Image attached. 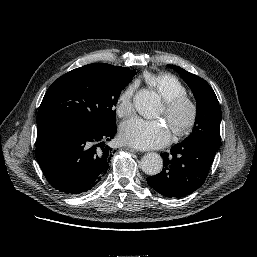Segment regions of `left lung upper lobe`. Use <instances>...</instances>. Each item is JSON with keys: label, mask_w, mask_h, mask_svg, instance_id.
Here are the masks:
<instances>
[{"label": "left lung upper lobe", "mask_w": 257, "mask_h": 257, "mask_svg": "<svg viewBox=\"0 0 257 257\" xmlns=\"http://www.w3.org/2000/svg\"><path fill=\"white\" fill-rule=\"evenodd\" d=\"M177 71L192 90L196 99V118L193 131L184 141H207L220 145L221 109L211 86L202 78L183 68L169 65Z\"/></svg>", "instance_id": "left-lung-upper-lobe-1"}]
</instances>
